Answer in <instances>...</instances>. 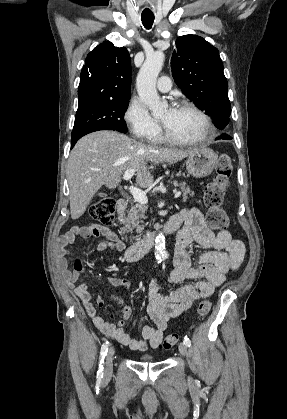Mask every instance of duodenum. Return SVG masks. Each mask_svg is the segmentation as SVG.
Returning a JSON list of instances; mask_svg holds the SVG:
<instances>
[{"label":"duodenum","mask_w":287,"mask_h":419,"mask_svg":"<svg viewBox=\"0 0 287 419\" xmlns=\"http://www.w3.org/2000/svg\"><path fill=\"white\" fill-rule=\"evenodd\" d=\"M127 205H128L127 200L119 199L116 205L118 213L124 212L127 208ZM174 230H175V227L173 225L168 224L167 226L163 228V233L169 234L173 232ZM156 237H157V233L152 232V233L147 234L142 239L131 244L125 250V253H124L125 260L128 262H133L140 259L153 247V245L155 244Z\"/></svg>","instance_id":"duodenum-1"}]
</instances>
